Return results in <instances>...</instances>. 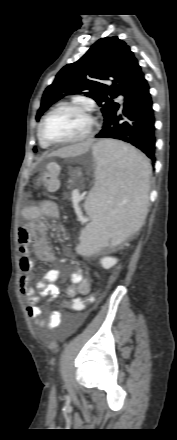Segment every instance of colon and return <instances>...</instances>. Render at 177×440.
Wrapping results in <instances>:
<instances>
[{
	"label": "colon",
	"mask_w": 177,
	"mask_h": 440,
	"mask_svg": "<svg viewBox=\"0 0 177 440\" xmlns=\"http://www.w3.org/2000/svg\"><path fill=\"white\" fill-rule=\"evenodd\" d=\"M59 167L55 164L49 165L45 171L39 172L32 180L35 185L46 187L50 191H54L59 187ZM95 296L85 298H65L61 302L60 307L64 309L68 306L69 311H84L85 304L93 303ZM65 304V305H64Z\"/></svg>",
	"instance_id": "colon-1"
}]
</instances>
